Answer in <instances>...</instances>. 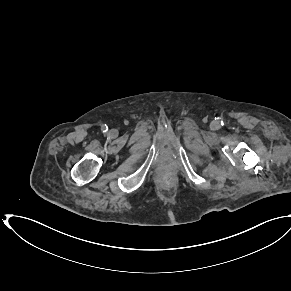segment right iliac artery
Here are the masks:
<instances>
[{"label":"right iliac artery","instance_id":"right-iliac-artery-1","mask_svg":"<svg viewBox=\"0 0 291 291\" xmlns=\"http://www.w3.org/2000/svg\"><path fill=\"white\" fill-rule=\"evenodd\" d=\"M107 129H108V127H106V125H103L102 128H101V130H102L103 132H106Z\"/></svg>","mask_w":291,"mask_h":291}]
</instances>
